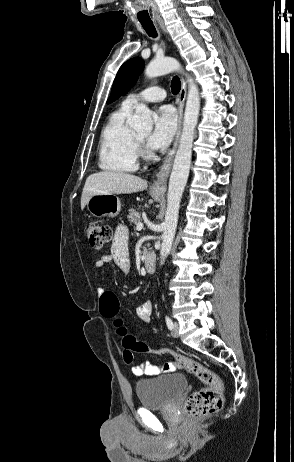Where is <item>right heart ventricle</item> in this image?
Wrapping results in <instances>:
<instances>
[{"mask_svg": "<svg viewBox=\"0 0 294 462\" xmlns=\"http://www.w3.org/2000/svg\"><path fill=\"white\" fill-rule=\"evenodd\" d=\"M131 107L122 104L109 117L102 130L99 146V167L112 173H131L137 170L139 145L127 119Z\"/></svg>", "mask_w": 294, "mask_h": 462, "instance_id": "1", "label": "right heart ventricle"}]
</instances>
